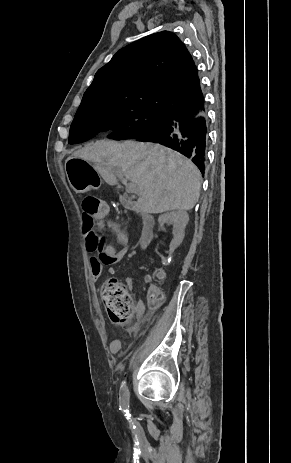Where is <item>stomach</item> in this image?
Instances as JSON below:
<instances>
[{"instance_id": "0dacf381", "label": "stomach", "mask_w": 291, "mask_h": 463, "mask_svg": "<svg viewBox=\"0 0 291 463\" xmlns=\"http://www.w3.org/2000/svg\"><path fill=\"white\" fill-rule=\"evenodd\" d=\"M65 169L70 184L77 193L100 188L97 172L89 164V157H66Z\"/></svg>"}]
</instances>
